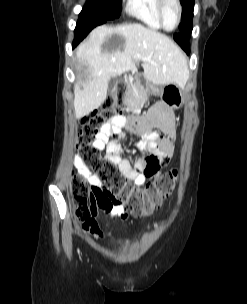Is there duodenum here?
I'll use <instances>...</instances> for the list:
<instances>
[{
  "instance_id": "1",
  "label": "duodenum",
  "mask_w": 247,
  "mask_h": 304,
  "mask_svg": "<svg viewBox=\"0 0 247 304\" xmlns=\"http://www.w3.org/2000/svg\"><path fill=\"white\" fill-rule=\"evenodd\" d=\"M134 82L139 83V84L144 83V86H149V81H146V79H144V78H135ZM127 88L130 90V89H132V86L129 85Z\"/></svg>"
}]
</instances>
